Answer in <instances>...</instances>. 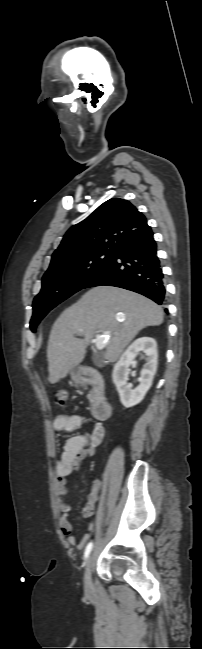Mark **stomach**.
I'll return each instance as SVG.
<instances>
[{
	"mask_svg": "<svg viewBox=\"0 0 202 649\" xmlns=\"http://www.w3.org/2000/svg\"><path fill=\"white\" fill-rule=\"evenodd\" d=\"M76 371H77V369H76L75 367H72V368L70 369L71 378H72V379L77 383V379H76Z\"/></svg>",
	"mask_w": 202,
	"mask_h": 649,
	"instance_id": "0dacf381",
	"label": "stomach"
}]
</instances>
